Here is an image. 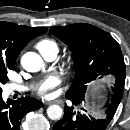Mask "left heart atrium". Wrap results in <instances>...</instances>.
Here are the masks:
<instances>
[{"instance_id": "39dd6f15", "label": "left heart atrium", "mask_w": 130, "mask_h": 130, "mask_svg": "<svg viewBox=\"0 0 130 130\" xmlns=\"http://www.w3.org/2000/svg\"><path fill=\"white\" fill-rule=\"evenodd\" d=\"M60 80L58 76L52 74L44 78L37 86V93L43 97L51 95L52 91L57 87Z\"/></svg>"}]
</instances>
